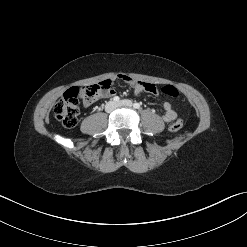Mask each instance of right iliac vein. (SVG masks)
I'll return each instance as SVG.
<instances>
[{
    "instance_id": "1",
    "label": "right iliac vein",
    "mask_w": 247,
    "mask_h": 247,
    "mask_svg": "<svg viewBox=\"0 0 247 247\" xmlns=\"http://www.w3.org/2000/svg\"><path fill=\"white\" fill-rule=\"evenodd\" d=\"M115 108H116V103L113 101L108 102L105 107L107 112H112Z\"/></svg>"
}]
</instances>
